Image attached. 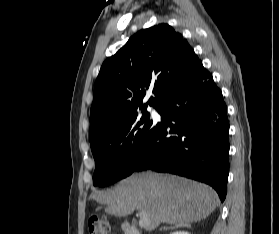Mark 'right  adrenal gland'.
I'll use <instances>...</instances> for the list:
<instances>
[{
	"label": "right adrenal gland",
	"mask_w": 279,
	"mask_h": 234,
	"mask_svg": "<svg viewBox=\"0 0 279 234\" xmlns=\"http://www.w3.org/2000/svg\"><path fill=\"white\" fill-rule=\"evenodd\" d=\"M180 226H182V225H175V226H171V227H163V228H161L160 230L174 229V228L180 227ZM183 226H185V227H190V224H184Z\"/></svg>",
	"instance_id": "2a0ac1e0"
}]
</instances>
